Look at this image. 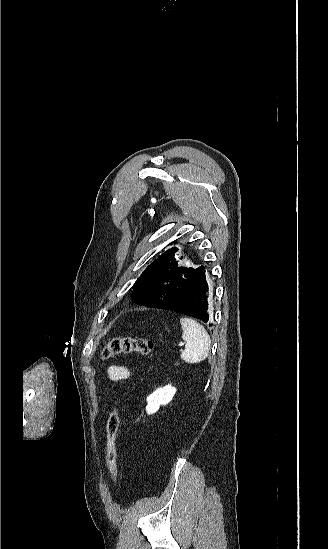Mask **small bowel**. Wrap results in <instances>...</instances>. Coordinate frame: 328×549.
I'll return each mask as SVG.
<instances>
[{
  "mask_svg": "<svg viewBox=\"0 0 328 549\" xmlns=\"http://www.w3.org/2000/svg\"><path fill=\"white\" fill-rule=\"evenodd\" d=\"M109 378L114 381H123L130 378L131 373L128 368L119 365H113L108 369Z\"/></svg>",
  "mask_w": 328,
  "mask_h": 549,
  "instance_id": "small-bowel-1",
  "label": "small bowel"
}]
</instances>
